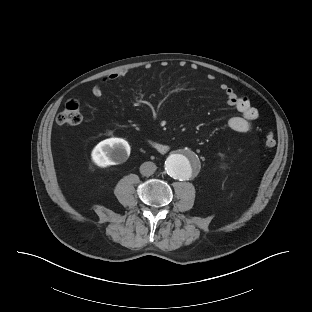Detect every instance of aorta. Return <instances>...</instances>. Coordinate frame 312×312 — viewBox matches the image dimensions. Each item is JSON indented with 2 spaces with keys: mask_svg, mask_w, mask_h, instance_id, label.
<instances>
[{
  "mask_svg": "<svg viewBox=\"0 0 312 312\" xmlns=\"http://www.w3.org/2000/svg\"><path fill=\"white\" fill-rule=\"evenodd\" d=\"M197 163L195 155L174 154L165 161V170L174 179L184 180L191 174V169Z\"/></svg>",
  "mask_w": 312,
  "mask_h": 312,
  "instance_id": "obj_1",
  "label": "aorta"
}]
</instances>
